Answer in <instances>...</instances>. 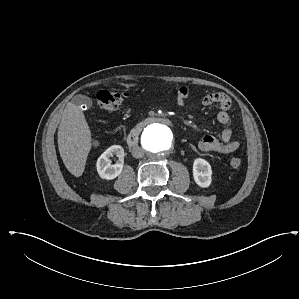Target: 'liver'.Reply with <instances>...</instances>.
I'll list each match as a JSON object with an SVG mask.
<instances>
[{
  "mask_svg": "<svg viewBox=\"0 0 299 299\" xmlns=\"http://www.w3.org/2000/svg\"><path fill=\"white\" fill-rule=\"evenodd\" d=\"M92 146V134L82 110L69 102L58 129V148L67 170L82 176Z\"/></svg>",
  "mask_w": 299,
  "mask_h": 299,
  "instance_id": "6515ba94",
  "label": "liver"
}]
</instances>
